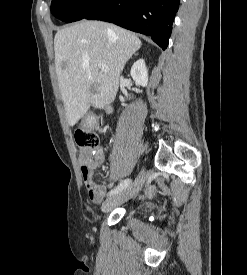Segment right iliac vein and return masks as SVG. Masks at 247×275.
Returning a JSON list of instances; mask_svg holds the SVG:
<instances>
[{
    "label": "right iliac vein",
    "instance_id": "right-iliac-vein-1",
    "mask_svg": "<svg viewBox=\"0 0 247 275\" xmlns=\"http://www.w3.org/2000/svg\"><path fill=\"white\" fill-rule=\"evenodd\" d=\"M146 180V172L143 170L136 179L129 184L125 189L118 192L113 197L107 199L102 204V211L107 212L116 207L119 204H122L129 199H131L133 196H135L142 188L143 184Z\"/></svg>",
    "mask_w": 247,
    "mask_h": 275
}]
</instances>
